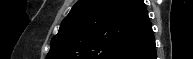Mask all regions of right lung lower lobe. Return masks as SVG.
Here are the masks:
<instances>
[{
	"mask_svg": "<svg viewBox=\"0 0 193 59\" xmlns=\"http://www.w3.org/2000/svg\"><path fill=\"white\" fill-rule=\"evenodd\" d=\"M122 59H156L154 36L152 35L142 46L132 53L123 56Z\"/></svg>",
	"mask_w": 193,
	"mask_h": 59,
	"instance_id": "right-lung-lower-lobe-1",
	"label": "right lung lower lobe"
}]
</instances>
